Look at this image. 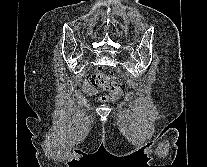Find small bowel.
Here are the masks:
<instances>
[{
  "label": "small bowel",
  "mask_w": 207,
  "mask_h": 167,
  "mask_svg": "<svg viewBox=\"0 0 207 167\" xmlns=\"http://www.w3.org/2000/svg\"><path fill=\"white\" fill-rule=\"evenodd\" d=\"M83 89L88 95H91L94 93L93 88L88 83L83 84Z\"/></svg>",
  "instance_id": "obj_1"
}]
</instances>
